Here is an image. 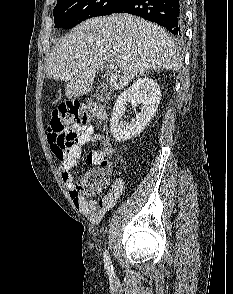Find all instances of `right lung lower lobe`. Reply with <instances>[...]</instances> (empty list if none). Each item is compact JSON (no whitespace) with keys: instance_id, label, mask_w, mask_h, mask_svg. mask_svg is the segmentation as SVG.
Wrapping results in <instances>:
<instances>
[{"instance_id":"98d812e1","label":"right lung lower lobe","mask_w":233,"mask_h":294,"mask_svg":"<svg viewBox=\"0 0 233 294\" xmlns=\"http://www.w3.org/2000/svg\"><path fill=\"white\" fill-rule=\"evenodd\" d=\"M113 13H128L158 23L177 38L183 36L182 0H123Z\"/></svg>"}]
</instances>
